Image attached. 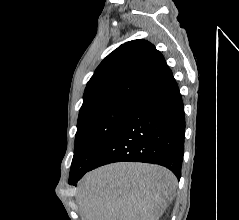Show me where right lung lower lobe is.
Segmentation results:
<instances>
[{"mask_svg": "<svg viewBox=\"0 0 239 220\" xmlns=\"http://www.w3.org/2000/svg\"><path fill=\"white\" fill-rule=\"evenodd\" d=\"M184 134L183 102L171 75L131 104L88 171L113 162H145L165 166L180 179ZM79 179L68 183L76 185Z\"/></svg>", "mask_w": 239, "mask_h": 220, "instance_id": "98d812e1", "label": "right lung lower lobe"}]
</instances>
